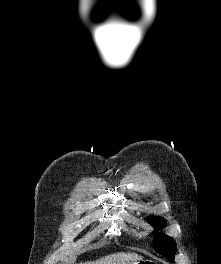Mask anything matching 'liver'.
<instances>
[{
    "label": "liver",
    "mask_w": 221,
    "mask_h": 264,
    "mask_svg": "<svg viewBox=\"0 0 221 264\" xmlns=\"http://www.w3.org/2000/svg\"><path fill=\"white\" fill-rule=\"evenodd\" d=\"M142 259V256L135 253H114L96 261H90L81 264H134L135 262Z\"/></svg>",
    "instance_id": "obj_1"
}]
</instances>
